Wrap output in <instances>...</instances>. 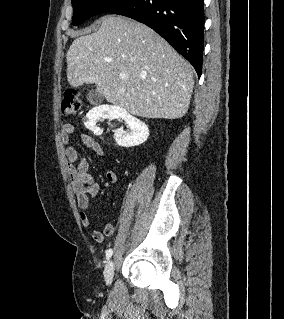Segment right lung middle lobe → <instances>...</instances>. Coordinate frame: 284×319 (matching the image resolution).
Here are the masks:
<instances>
[{
    "instance_id": "right-lung-middle-lobe-1",
    "label": "right lung middle lobe",
    "mask_w": 284,
    "mask_h": 319,
    "mask_svg": "<svg viewBox=\"0 0 284 319\" xmlns=\"http://www.w3.org/2000/svg\"><path fill=\"white\" fill-rule=\"evenodd\" d=\"M130 0H71L73 5V24L79 25L93 15L111 11Z\"/></svg>"
}]
</instances>
